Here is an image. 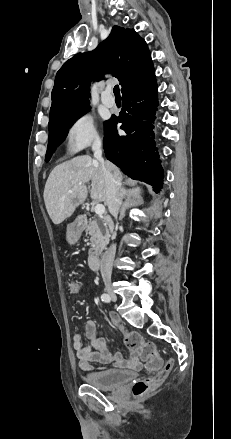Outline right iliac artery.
<instances>
[{
	"label": "right iliac artery",
	"mask_w": 231,
	"mask_h": 439,
	"mask_svg": "<svg viewBox=\"0 0 231 439\" xmlns=\"http://www.w3.org/2000/svg\"><path fill=\"white\" fill-rule=\"evenodd\" d=\"M101 300H102L103 302L108 303V302L111 301V298H110V296H109L108 294L104 293V294L101 295Z\"/></svg>",
	"instance_id": "82829eb1"
}]
</instances>
